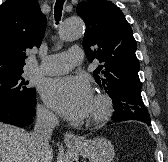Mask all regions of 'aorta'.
Segmentation results:
<instances>
[{
  "label": "aorta",
  "mask_w": 168,
  "mask_h": 162,
  "mask_svg": "<svg viewBox=\"0 0 168 162\" xmlns=\"http://www.w3.org/2000/svg\"><path fill=\"white\" fill-rule=\"evenodd\" d=\"M84 34V23L79 18L66 19L59 30L60 39L63 41H73Z\"/></svg>",
  "instance_id": "762f6f07"
}]
</instances>
